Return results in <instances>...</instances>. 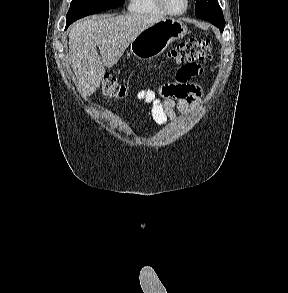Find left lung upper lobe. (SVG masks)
I'll list each match as a JSON object with an SVG mask.
<instances>
[{
  "label": "left lung upper lobe",
  "instance_id": "left-lung-upper-lobe-1",
  "mask_svg": "<svg viewBox=\"0 0 288 293\" xmlns=\"http://www.w3.org/2000/svg\"><path fill=\"white\" fill-rule=\"evenodd\" d=\"M195 15L215 25L221 32L224 30L225 20L223 12L216 0H195Z\"/></svg>",
  "mask_w": 288,
  "mask_h": 293
}]
</instances>
